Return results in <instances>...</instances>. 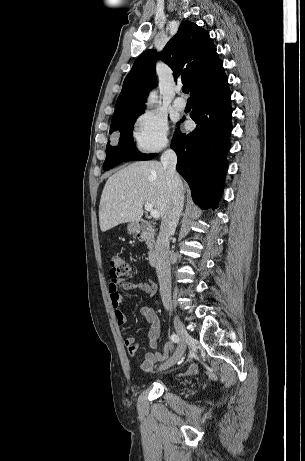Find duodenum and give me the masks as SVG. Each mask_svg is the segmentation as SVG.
I'll return each instance as SVG.
<instances>
[{
	"mask_svg": "<svg viewBox=\"0 0 305 461\" xmlns=\"http://www.w3.org/2000/svg\"><path fill=\"white\" fill-rule=\"evenodd\" d=\"M136 234L140 240L145 241L150 246V251L147 258L149 266L157 265L158 254L155 250V236L152 225L147 221L138 222L136 224Z\"/></svg>",
	"mask_w": 305,
	"mask_h": 461,
	"instance_id": "obj_1",
	"label": "duodenum"
}]
</instances>
